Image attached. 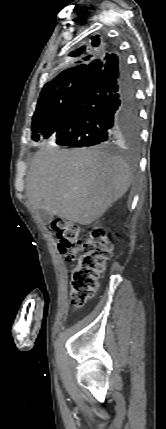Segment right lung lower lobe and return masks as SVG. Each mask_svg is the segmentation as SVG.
I'll use <instances>...</instances> for the list:
<instances>
[{"mask_svg": "<svg viewBox=\"0 0 166 429\" xmlns=\"http://www.w3.org/2000/svg\"><path fill=\"white\" fill-rule=\"evenodd\" d=\"M138 124L131 70L121 55L109 53L88 65L54 137L61 146L104 145L119 129Z\"/></svg>", "mask_w": 166, "mask_h": 429, "instance_id": "obj_1", "label": "right lung lower lobe"}]
</instances>
